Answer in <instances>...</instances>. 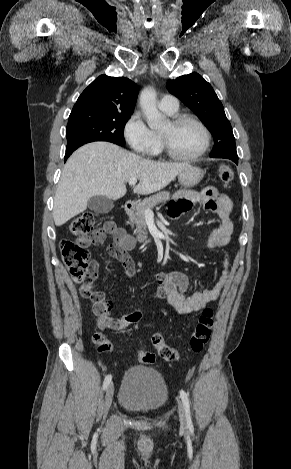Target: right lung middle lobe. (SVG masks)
Returning a JSON list of instances; mask_svg holds the SVG:
<instances>
[{"label":"right lung middle lobe","instance_id":"dd1d6c3e","mask_svg":"<svg viewBox=\"0 0 291 469\" xmlns=\"http://www.w3.org/2000/svg\"><path fill=\"white\" fill-rule=\"evenodd\" d=\"M130 116L101 112L71 113L66 127L67 144L109 141L124 146L123 131Z\"/></svg>","mask_w":291,"mask_h":469}]
</instances>
